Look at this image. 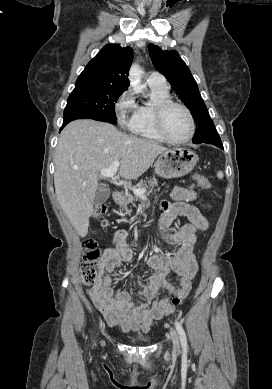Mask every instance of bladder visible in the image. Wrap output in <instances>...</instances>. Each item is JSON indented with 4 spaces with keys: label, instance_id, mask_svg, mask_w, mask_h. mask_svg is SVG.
I'll return each mask as SVG.
<instances>
[{
    "label": "bladder",
    "instance_id": "obj_1",
    "mask_svg": "<svg viewBox=\"0 0 272 389\" xmlns=\"http://www.w3.org/2000/svg\"><path fill=\"white\" fill-rule=\"evenodd\" d=\"M148 339H145V338H141V339H138L137 340V343H140V344H146V343H148Z\"/></svg>",
    "mask_w": 272,
    "mask_h": 389
}]
</instances>
